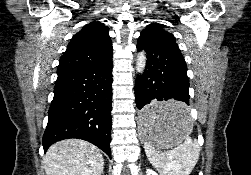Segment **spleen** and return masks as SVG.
<instances>
[{
  "mask_svg": "<svg viewBox=\"0 0 251 175\" xmlns=\"http://www.w3.org/2000/svg\"><path fill=\"white\" fill-rule=\"evenodd\" d=\"M179 129L183 133V143L177 145L173 151H160L157 153L151 141H145L144 147L146 155L158 169L160 175H189L199 159V143L192 141L190 133L192 131V121L188 115L187 109H182L179 115ZM165 117H150L149 135L159 137L163 131Z\"/></svg>",
  "mask_w": 251,
  "mask_h": 175,
  "instance_id": "spleen-1",
  "label": "spleen"
}]
</instances>
